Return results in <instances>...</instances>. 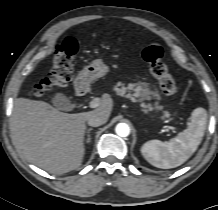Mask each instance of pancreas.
Here are the masks:
<instances>
[{
	"label": "pancreas",
	"mask_w": 218,
	"mask_h": 210,
	"mask_svg": "<svg viewBox=\"0 0 218 210\" xmlns=\"http://www.w3.org/2000/svg\"><path fill=\"white\" fill-rule=\"evenodd\" d=\"M123 85L122 83H118L117 86ZM115 87V91L118 95L130 98L133 102L136 101L137 97H141L140 100L147 99L151 95V91L147 87V85L143 82H138L136 84H129L128 87L122 86L121 88ZM128 90H133V94H126ZM143 108H148V110H152V107L150 105H145L144 103L141 105ZM159 109H162L161 106L158 107ZM147 112V110H144ZM165 117L169 116L168 112L164 113Z\"/></svg>",
	"instance_id": "1"
}]
</instances>
